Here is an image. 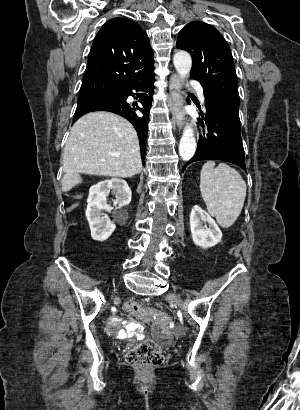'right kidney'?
Instances as JSON below:
<instances>
[{
	"label": "right kidney",
	"instance_id": "right-kidney-1",
	"mask_svg": "<svg viewBox=\"0 0 300 410\" xmlns=\"http://www.w3.org/2000/svg\"><path fill=\"white\" fill-rule=\"evenodd\" d=\"M110 191L116 196L113 201L115 207L121 208L131 202V189L123 179L103 180L90 188L85 214L90 226L91 236L97 241L108 239L116 227L110 218L102 213L103 210L111 212L113 209L107 199Z\"/></svg>",
	"mask_w": 300,
	"mask_h": 410
}]
</instances>
